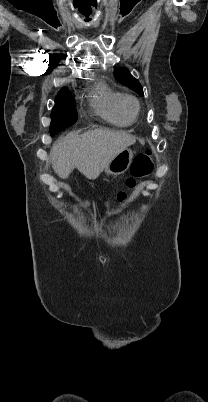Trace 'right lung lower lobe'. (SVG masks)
<instances>
[{
    "instance_id": "obj_1",
    "label": "right lung lower lobe",
    "mask_w": 208,
    "mask_h": 402,
    "mask_svg": "<svg viewBox=\"0 0 208 402\" xmlns=\"http://www.w3.org/2000/svg\"><path fill=\"white\" fill-rule=\"evenodd\" d=\"M64 128H65V126H62V125H54V124L50 125L51 136H54L56 133L63 130Z\"/></svg>"
}]
</instances>
